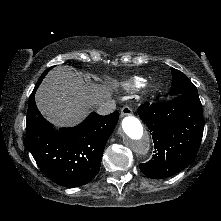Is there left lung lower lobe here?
I'll list each match as a JSON object with an SVG mask.
<instances>
[{
  "mask_svg": "<svg viewBox=\"0 0 221 221\" xmlns=\"http://www.w3.org/2000/svg\"><path fill=\"white\" fill-rule=\"evenodd\" d=\"M139 116L152 133L155 155L140 170L160 179L186 168L195 158L202 140L204 118L199 97L181 94L162 103H144Z\"/></svg>",
  "mask_w": 221,
  "mask_h": 221,
  "instance_id": "obj_1",
  "label": "left lung lower lobe"
}]
</instances>
